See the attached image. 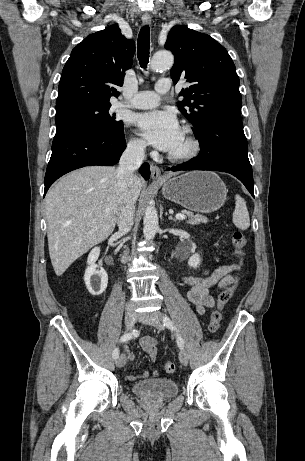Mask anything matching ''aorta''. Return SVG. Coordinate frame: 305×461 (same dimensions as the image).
Listing matches in <instances>:
<instances>
[{
    "label": "aorta",
    "mask_w": 305,
    "mask_h": 461,
    "mask_svg": "<svg viewBox=\"0 0 305 461\" xmlns=\"http://www.w3.org/2000/svg\"><path fill=\"white\" fill-rule=\"evenodd\" d=\"M174 57L170 52L162 51L153 55L151 69L153 71L168 69L172 67ZM143 234L145 240H152L158 230V215L155 207L148 205L143 218Z\"/></svg>",
    "instance_id": "1"
}]
</instances>
